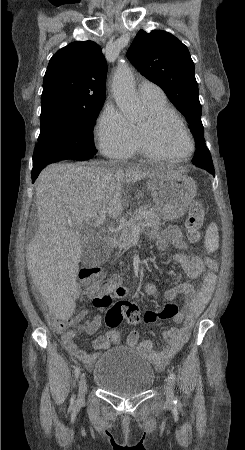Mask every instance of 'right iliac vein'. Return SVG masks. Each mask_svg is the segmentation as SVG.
I'll return each instance as SVG.
<instances>
[{
	"mask_svg": "<svg viewBox=\"0 0 245 450\" xmlns=\"http://www.w3.org/2000/svg\"><path fill=\"white\" fill-rule=\"evenodd\" d=\"M87 392V382L84 375H81L78 381V400H82Z\"/></svg>",
	"mask_w": 245,
	"mask_h": 450,
	"instance_id": "obj_1",
	"label": "right iliac vein"
}]
</instances>
